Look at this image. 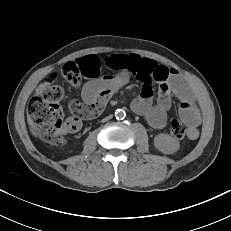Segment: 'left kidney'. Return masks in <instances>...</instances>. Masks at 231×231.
<instances>
[{"mask_svg": "<svg viewBox=\"0 0 231 231\" xmlns=\"http://www.w3.org/2000/svg\"><path fill=\"white\" fill-rule=\"evenodd\" d=\"M155 147L164 154H173L180 148V144L177 139L168 134H158L154 138Z\"/></svg>", "mask_w": 231, "mask_h": 231, "instance_id": "1", "label": "left kidney"}]
</instances>
